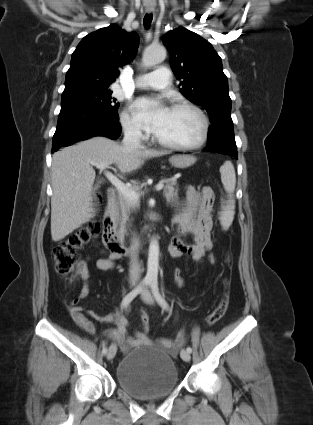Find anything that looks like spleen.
<instances>
[{"mask_svg":"<svg viewBox=\"0 0 313 425\" xmlns=\"http://www.w3.org/2000/svg\"><path fill=\"white\" fill-rule=\"evenodd\" d=\"M221 181L225 191L228 193L229 200L225 209L220 213V223L224 230H227L232 224L235 214V200L233 193L236 186L235 169L231 161H225L220 167Z\"/></svg>","mask_w":313,"mask_h":425,"instance_id":"spleen-1","label":"spleen"}]
</instances>
